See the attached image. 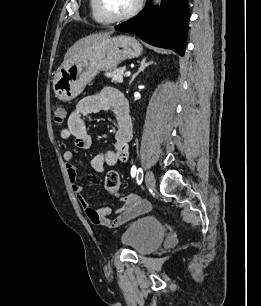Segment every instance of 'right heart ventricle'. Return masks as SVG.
<instances>
[{"label":"right heart ventricle","instance_id":"e07e8e85","mask_svg":"<svg viewBox=\"0 0 261 306\" xmlns=\"http://www.w3.org/2000/svg\"><path fill=\"white\" fill-rule=\"evenodd\" d=\"M89 7L91 11V16L96 22L102 23V24L109 23V21L105 19L99 12L97 8V0H89Z\"/></svg>","mask_w":261,"mask_h":306}]
</instances>
